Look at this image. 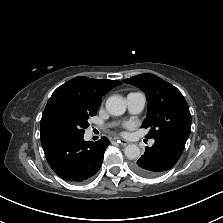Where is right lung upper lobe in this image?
I'll return each mask as SVG.
<instances>
[{"instance_id":"cb5924a9","label":"right lung upper lobe","mask_w":223,"mask_h":223,"mask_svg":"<svg viewBox=\"0 0 223 223\" xmlns=\"http://www.w3.org/2000/svg\"><path fill=\"white\" fill-rule=\"evenodd\" d=\"M120 84L121 82L117 80L89 79L79 76L58 87L48 100L41 118V143L55 137L51 131L50 119L58 107L65 104H77L98 110L101 97Z\"/></svg>"}]
</instances>
